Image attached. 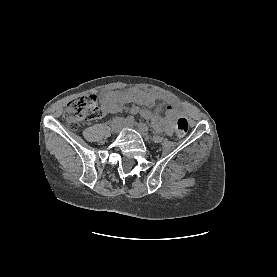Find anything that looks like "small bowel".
<instances>
[{
	"label": "small bowel",
	"mask_w": 277,
	"mask_h": 277,
	"mask_svg": "<svg viewBox=\"0 0 277 277\" xmlns=\"http://www.w3.org/2000/svg\"><path fill=\"white\" fill-rule=\"evenodd\" d=\"M160 99L162 100V104L156 111L141 109L137 105L132 106L129 111L131 114L140 113L145 119L152 123L157 131H164L170 134L177 111L171 99L162 96L155 90L130 89L120 93H104L101 95L102 114L107 115L119 112L123 105L129 102L140 103L152 107ZM162 111H165V115L161 114Z\"/></svg>",
	"instance_id": "1"
}]
</instances>
